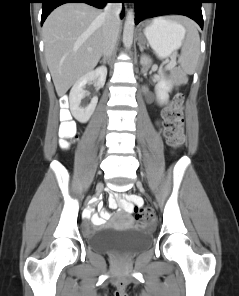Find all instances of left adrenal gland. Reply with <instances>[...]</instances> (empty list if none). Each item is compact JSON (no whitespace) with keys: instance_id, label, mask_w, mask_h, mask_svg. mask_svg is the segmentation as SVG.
Returning a JSON list of instances; mask_svg holds the SVG:
<instances>
[{"instance_id":"left-adrenal-gland-1","label":"left adrenal gland","mask_w":239,"mask_h":296,"mask_svg":"<svg viewBox=\"0 0 239 296\" xmlns=\"http://www.w3.org/2000/svg\"><path fill=\"white\" fill-rule=\"evenodd\" d=\"M138 45H139L140 50L143 51L144 46L140 43V40H139Z\"/></svg>"}]
</instances>
